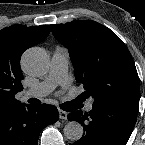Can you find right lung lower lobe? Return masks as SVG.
I'll use <instances>...</instances> for the list:
<instances>
[{"instance_id": "obj_1", "label": "right lung lower lobe", "mask_w": 145, "mask_h": 145, "mask_svg": "<svg viewBox=\"0 0 145 145\" xmlns=\"http://www.w3.org/2000/svg\"><path fill=\"white\" fill-rule=\"evenodd\" d=\"M59 118L53 105L18 104L0 112V145H37L40 131Z\"/></svg>"}]
</instances>
